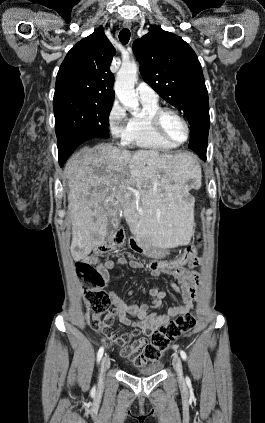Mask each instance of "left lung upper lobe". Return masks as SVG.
Returning a JSON list of instances; mask_svg holds the SVG:
<instances>
[{
  "label": "left lung upper lobe",
  "instance_id": "left-lung-upper-lobe-1",
  "mask_svg": "<svg viewBox=\"0 0 265 423\" xmlns=\"http://www.w3.org/2000/svg\"><path fill=\"white\" fill-rule=\"evenodd\" d=\"M140 72L165 101L186 117L191 133L188 147L206 155L210 127L208 92L201 64L193 49L179 36L151 26L133 43Z\"/></svg>",
  "mask_w": 265,
  "mask_h": 423
}]
</instances>
